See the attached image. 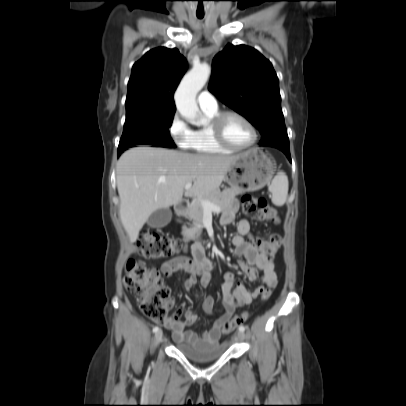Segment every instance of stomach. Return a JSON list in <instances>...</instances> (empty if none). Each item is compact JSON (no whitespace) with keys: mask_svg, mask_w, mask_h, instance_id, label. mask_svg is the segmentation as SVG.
<instances>
[{"mask_svg":"<svg viewBox=\"0 0 406 406\" xmlns=\"http://www.w3.org/2000/svg\"><path fill=\"white\" fill-rule=\"evenodd\" d=\"M275 169L270 156L259 148H253L238 155L228 170L226 181L231 188L256 191L269 184Z\"/></svg>","mask_w":406,"mask_h":406,"instance_id":"stomach-1","label":"stomach"}]
</instances>
